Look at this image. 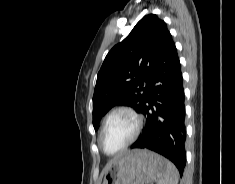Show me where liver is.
<instances>
[{"label":"liver","mask_w":235,"mask_h":184,"mask_svg":"<svg viewBox=\"0 0 235 184\" xmlns=\"http://www.w3.org/2000/svg\"><path fill=\"white\" fill-rule=\"evenodd\" d=\"M117 158H120V156H116V158H114V160H117ZM111 162H113V160H111ZM111 162H109V164H111ZM109 164H107L106 168H104L103 174H104V172H107V170L109 168Z\"/></svg>","instance_id":"1"}]
</instances>
